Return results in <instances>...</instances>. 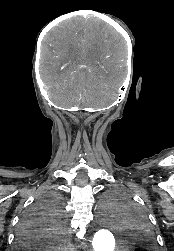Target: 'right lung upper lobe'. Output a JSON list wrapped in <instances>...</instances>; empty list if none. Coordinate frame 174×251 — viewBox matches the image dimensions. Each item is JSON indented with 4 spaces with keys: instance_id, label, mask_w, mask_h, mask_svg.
<instances>
[{
    "instance_id": "right-lung-upper-lobe-1",
    "label": "right lung upper lobe",
    "mask_w": 174,
    "mask_h": 251,
    "mask_svg": "<svg viewBox=\"0 0 174 251\" xmlns=\"http://www.w3.org/2000/svg\"><path fill=\"white\" fill-rule=\"evenodd\" d=\"M32 218H35V219H45V218H43V217H40V216H34V217H32ZM45 220H47V219H45ZM49 223V222H48ZM50 232H52V233H56V231L55 230H53V231H50ZM53 236V235H52ZM30 249H39V250H49V249H52V247H46V248H40V247H34V248H30Z\"/></svg>"
}]
</instances>
